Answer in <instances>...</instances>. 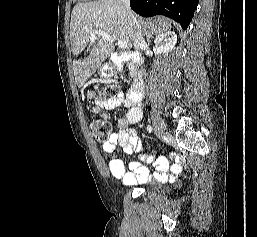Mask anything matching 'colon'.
I'll return each instance as SVG.
<instances>
[{
    "label": "colon",
    "instance_id": "colon-1",
    "mask_svg": "<svg viewBox=\"0 0 257 237\" xmlns=\"http://www.w3.org/2000/svg\"><path fill=\"white\" fill-rule=\"evenodd\" d=\"M117 92V87L104 80H99L89 91L87 98L90 101H99L106 97L113 96ZM91 130L94 138L100 142H107L111 137L112 126L109 121L94 119L91 124Z\"/></svg>",
    "mask_w": 257,
    "mask_h": 237
}]
</instances>
